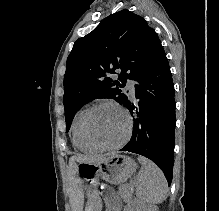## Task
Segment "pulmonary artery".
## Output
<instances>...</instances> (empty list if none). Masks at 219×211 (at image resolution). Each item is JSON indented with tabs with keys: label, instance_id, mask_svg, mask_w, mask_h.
<instances>
[{
	"label": "pulmonary artery",
	"instance_id": "obj_1",
	"mask_svg": "<svg viewBox=\"0 0 219 211\" xmlns=\"http://www.w3.org/2000/svg\"><path fill=\"white\" fill-rule=\"evenodd\" d=\"M126 89L128 90L131 97H134V86L131 83H127Z\"/></svg>",
	"mask_w": 219,
	"mask_h": 211
}]
</instances>
